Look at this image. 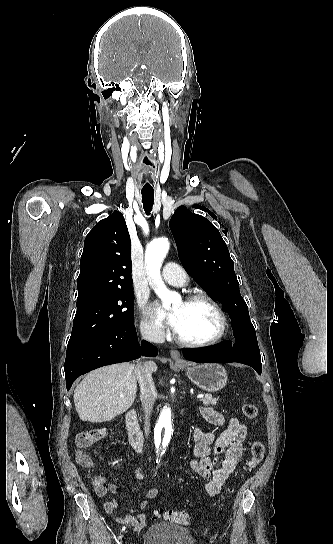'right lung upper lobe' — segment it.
<instances>
[{
  "instance_id": "cb5924a9",
  "label": "right lung upper lobe",
  "mask_w": 333,
  "mask_h": 544,
  "mask_svg": "<svg viewBox=\"0 0 333 544\" xmlns=\"http://www.w3.org/2000/svg\"><path fill=\"white\" fill-rule=\"evenodd\" d=\"M131 243L123 215L113 214L88 233L77 279V300L132 289Z\"/></svg>"
}]
</instances>
